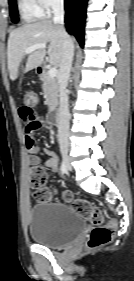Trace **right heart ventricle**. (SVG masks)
Wrapping results in <instances>:
<instances>
[{
    "label": "right heart ventricle",
    "mask_w": 134,
    "mask_h": 281,
    "mask_svg": "<svg viewBox=\"0 0 134 281\" xmlns=\"http://www.w3.org/2000/svg\"><path fill=\"white\" fill-rule=\"evenodd\" d=\"M18 8L25 22H32L44 16L37 0H18Z\"/></svg>",
    "instance_id": "obj_1"
}]
</instances>
